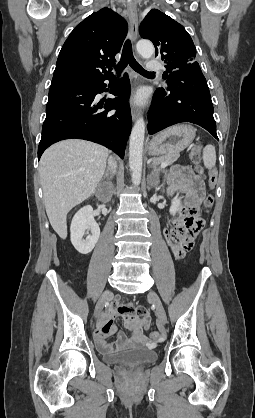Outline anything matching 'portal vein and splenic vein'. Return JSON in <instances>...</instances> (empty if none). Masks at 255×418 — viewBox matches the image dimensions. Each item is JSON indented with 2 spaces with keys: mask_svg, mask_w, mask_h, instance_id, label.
<instances>
[{
  "mask_svg": "<svg viewBox=\"0 0 255 418\" xmlns=\"http://www.w3.org/2000/svg\"><path fill=\"white\" fill-rule=\"evenodd\" d=\"M168 165H169V163H168V162H163V163H161L160 167H161V168H165V167H167Z\"/></svg>",
  "mask_w": 255,
  "mask_h": 418,
  "instance_id": "1",
  "label": "portal vein and splenic vein"
}]
</instances>
